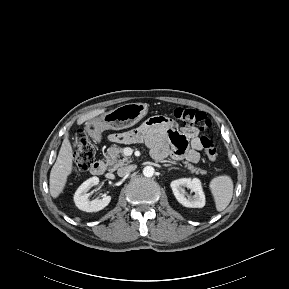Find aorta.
<instances>
[{
	"mask_svg": "<svg viewBox=\"0 0 289 289\" xmlns=\"http://www.w3.org/2000/svg\"><path fill=\"white\" fill-rule=\"evenodd\" d=\"M154 173H155V170L152 166H146L143 169V174L146 177H152L154 175Z\"/></svg>",
	"mask_w": 289,
	"mask_h": 289,
	"instance_id": "1",
	"label": "aorta"
}]
</instances>
